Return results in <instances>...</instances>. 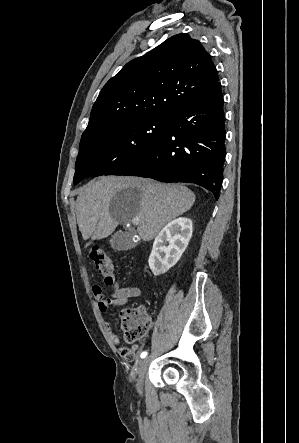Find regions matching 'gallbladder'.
Returning a JSON list of instances; mask_svg holds the SVG:
<instances>
[{
    "mask_svg": "<svg viewBox=\"0 0 299 443\" xmlns=\"http://www.w3.org/2000/svg\"><path fill=\"white\" fill-rule=\"evenodd\" d=\"M133 235L127 231H118L110 238V245L114 250L125 251L134 246Z\"/></svg>",
    "mask_w": 299,
    "mask_h": 443,
    "instance_id": "gallbladder-1",
    "label": "gallbladder"
}]
</instances>
